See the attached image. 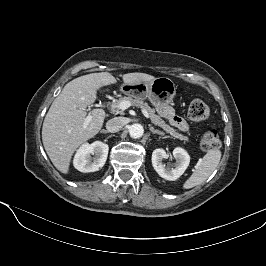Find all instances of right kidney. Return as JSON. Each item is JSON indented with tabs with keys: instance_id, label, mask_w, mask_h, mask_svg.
<instances>
[{
	"instance_id": "1",
	"label": "right kidney",
	"mask_w": 266,
	"mask_h": 266,
	"mask_svg": "<svg viewBox=\"0 0 266 266\" xmlns=\"http://www.w3.org/2000/svg\"><path fill=\"white\" fill-rule=\"evenodd\" d=\"M108 150L109 146L101 141H95L92 144L85 143L75 154L74 167L84 173L98 171L107 160Z\"/></svg>"
}]
</instances>
